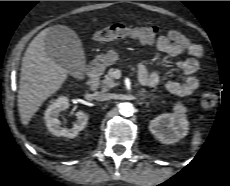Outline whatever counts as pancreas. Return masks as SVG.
I'll return each mask as SVG.
<instances>
[{"label": "pancreas", "instance_id": "cf45deb5", "mask_svg": "<svg viewBox=\"0 0 230 186\" xmlns=\"http://www.w3.org/2000/svg\"><path fill=\"white\" fill-rule=\"evenodd\" d=\"M114 72V68L109 69L107 75H105L104 79L101 81V87L104 91H107L110 88L117 86V83H115L114 80Z\"/></svg>", "mask_w": 230, "mask_h": 186}]
</instances>
